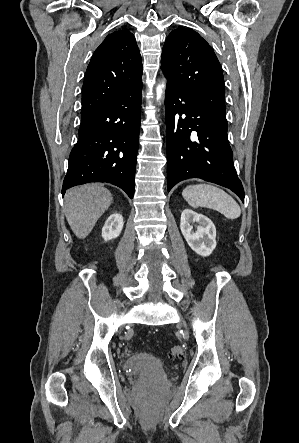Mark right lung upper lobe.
<instances>
[{
	"mask_svg": "<svg viewBox=\"0 0 299 443\" xmlns=\"http://www.w3.org/2000/svg\"><path fill=\"white\" fill-rule=\"evenodd\" d=\"M142 60L128 30L109 34L94 52L82 88V114L118 98L142 83Z\"/></svg>",
	"mask_w": 299,
	"mask_h": 443,
	"instance_id": "right-lung-upper-lobe-1",
	"label": "right lung upper lobe"
}]
</instances>
